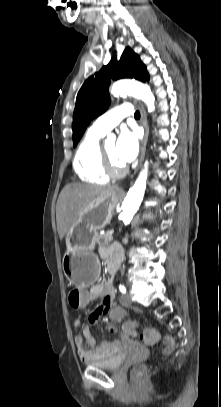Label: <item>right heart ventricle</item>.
Listing matches in <instances>:
<instances>
[{"label": "right heart ventricle", "mask_w": 221, "mask_h": 407, "mask_svg": "<svg viewBox=\"0 0 221 407\" xmlns=\"http://www.w3.org/2000/svg\"><path fill=\"white\" fill-rule=\"evenodd\" d=\"M102 136L103 134L88 130L76 151L74 170L83 182L104 184L109 179L102 167L99 144Z\"/></svg>", "instance_id": "right-heart-ventricle-1"}]
</instances>
